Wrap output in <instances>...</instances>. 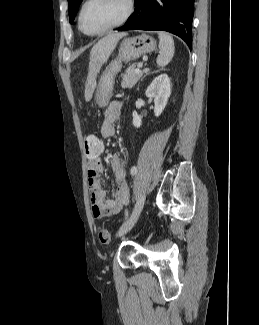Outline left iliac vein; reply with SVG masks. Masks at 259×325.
Wrapping results in <instances>:
<instances>
[{"instance_id":"left-iliac-vein-1","label":"left iliac vein","mask_w":259,"mask_h":325,"mask_svg":"<svg viewBox=\"0 0 259 325\" xmlns=\"http://www.w3.org/2000/svg\"><path fill=\"white\" fill-rule=\"evenodd\" d=\"M145 200H146V196L144 194L139 197V199L137 200V202L134 206L131 216L121 226V228L119 229V231L117 233V237H121V236L125 235L127 232H129L132 229V227L137 222L138 217L143 209Z\"/></svg>"}]
</instances>
